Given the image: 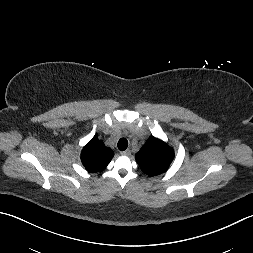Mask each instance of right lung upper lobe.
<instances>
[{"mask_svg": "<svg viewBox=\"0 0 253 253\" xmlns=\"http://www.w3.org/2000/svg\"><path fill=\"white\" fill-rule=\"evenodd\" d=\"M114 152L106 147L102 141L94 136L81 153V161L89 172L103 170L111 161Z\"/></svg>", "mask_w": 253, "mask_h": 253, "instance_id": "1", "label": "right lung upper lobe"}]
</instances>
